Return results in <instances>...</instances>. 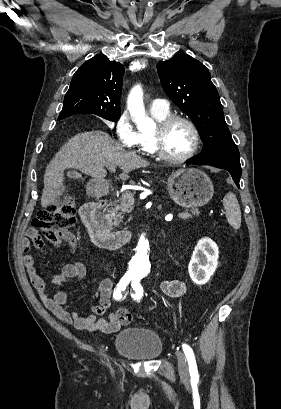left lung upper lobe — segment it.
<instances>
[{
    "mask_svg": "<svg viewBox=\"0 0 281 409\" xmlns=\"http://www.w3.org/2000/svg\"><path fill=\"white\" fill-rule=\"evenodd\" d=\"M165 93L197 127L204 143L199 158L239 157L208 69L186 53L157 64Z\"/></svg>",
    "mask_w": 281,
    "mask_h": 409,
    "instance_id": "5c2ea615",
    "label": "left lung upper lobe"
}]
</instances>
